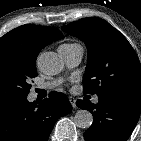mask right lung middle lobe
<instances>
[{
	"instance_id": "right-lung-middle-lobe-1",
	"label": "right lung middle lobe",
	"mask_w": 141,
	"mask_h": 141,
	"mask_svg": "<svg viewBox=\"0 0 141 141\" xmlns=\"http://www.w3.org/2000/svg\"><path fill=\"white\" fill-rule=\"evenodd\" d=\"M35 61L14 51L0 54V96H27L37 76Z\"/></svg>"
}]
</instances>
